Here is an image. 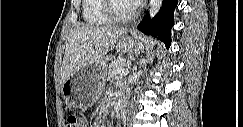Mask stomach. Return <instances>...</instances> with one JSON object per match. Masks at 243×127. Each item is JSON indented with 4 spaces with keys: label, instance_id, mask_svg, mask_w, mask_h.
<instances>
[{
    "label": "stomach",
    "instance_id": "0dacf381",
    "mask_svg": "<svg viewBox=\"0 0 243 127\" xmlns=\"http://www.w3.org/2000/svg\"><path fill=\"white\" fill-rule=\"evenodd\" d=\"M144 46L139 34L124 35L117 42V50L121 54L137 52ZM106 59L102 58L85 64L79 71L61 86V93L65 102L73 108H88L99 98L107 72Z\"/></svg>",
    "mask_w": 243,
    "mask_h": 127
}]
</instances>
